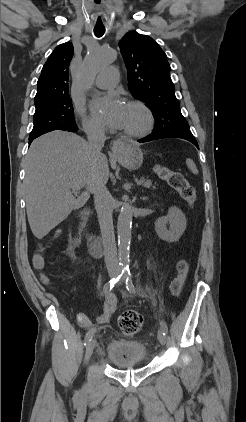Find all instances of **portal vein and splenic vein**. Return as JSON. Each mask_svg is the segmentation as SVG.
Instances as JSON below:
<instances>
[{"label":"portal vein and splenic vein","mask_w":246,"mask_h":422,"mask_svg":"<svg viewBox=\"0 0 246 422\" xmlns=\"http://www.w3.org/2000/svg\"><path fill=\"white\" fill-rule=\"evenodd\" d=\"M144 183H145L144 180H139L137 182V185L140 186V185H143ZM147 184H149V183H147ZM72 188H77V186L76 185H72Z\"/></svg>","instance_id":"18ae733b"}]
</instances>
